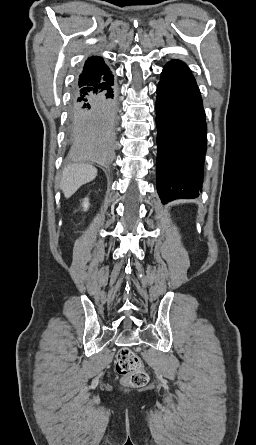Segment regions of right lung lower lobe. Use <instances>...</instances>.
Segmentation results:
<instances>
[{
  "label": "right lung lower lobe",
  "mask_w": 256,
  "mask_h": 445,
  "mask_svg": "<svg viewBox=\"0 0 256 445\" xmlns=\"http://www.w3.org/2000/svg\"><path fill=\"white\" fill-rule=\"evenodd\" d=\"M116 111L113 75L96 87L75 90L70 126L72 157L100 164L112 160Z\"/></svg>",
  "instance_id": "obj_1"
}]
</instances>
